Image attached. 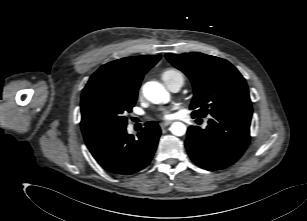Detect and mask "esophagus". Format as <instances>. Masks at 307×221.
<instances>
[{
    "label": "esophagus",
    "instance_id": "34e87169",
    "mask_svg": "<svg viewBox=\"0 0 307 221\" xmlns=\"http://www.w3.org/2000/svg\"><path fill=\"white\" fill-rule=\"evenodd\" d=\"M172 122L171 121H165V122H161L160 123V127L163 129V128H166L168 125H170Z\"/></svg>",
    "mask_w": 307,
    "mask_h": 221
}]
</instances>
